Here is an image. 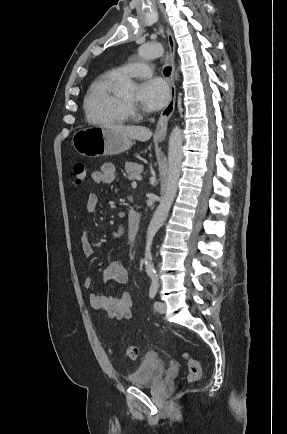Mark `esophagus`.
<instances>
[{"mask_svg":"<svg viewBox=\"0 0 287 434\" xmlns=\"http://www.w3.org/2000/svg\"><path fill=\"white\" fill-rule=\"evenodd\" d=\"M167 37H168V45H169V62L172 67L171 76L169 79L170 84V99L165 108L162 110L156 130H155V137L162 140L164 139L167 131V125L170 117L172 116L174 110H175V99H176V88H175V41L173 38V35L169 29H167Z\"/></svg>","mask_w":287,"mask_h":434,"instance_id":"34e87169","label":"esophagus"}]
</instances>
